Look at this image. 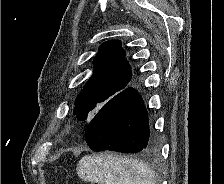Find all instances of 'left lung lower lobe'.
Segmentation results:
<instances>
[{"label":"left lung lower lobe","mask_w":224,"mask_h":184,"mask_svg":"<svg viewBox=\"0 0 224 184\" xmlns=\"http://www.w3.org/2000/svg\"><path fill=\"white\" fill-rule=\"evenodd\" d=\"M85 139L93 151L154 153L159 149L150 135L149 120L138 91L128 87L109 99L89 122Z\"/></svg>","instance_id":"1"}]
</instances>
